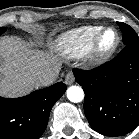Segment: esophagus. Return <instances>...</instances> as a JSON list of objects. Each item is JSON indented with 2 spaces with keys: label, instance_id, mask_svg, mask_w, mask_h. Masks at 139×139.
Wrapping results in <instances>:
<instances>
[{
  "label": "esophagus",
  "instance_id": "34e87169",
  "mask_svg": "<svg viewBox=\"0 0 139 139\" xmlns=\"http://www.w3.org/2000/svg\"><path fill=\"white\" fill-rule=\"evenodd\" d=\"M74 80H75V78H74V74L72 72H69L65 77V83L67 85L73 84Z\"/></svg>",
  "mask_w": 139,
  "mask_h": 139
}]
</instances>
